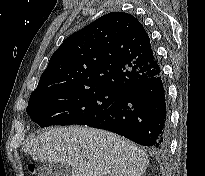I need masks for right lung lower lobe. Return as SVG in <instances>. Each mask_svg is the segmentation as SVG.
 <instances>
[{"mask_svg": "<svg viewBox=\"0 0 205 176\" xmlns=\"http://www.w3.org/2000/svg\"><path fill=\"white\" fill-rule=\"evenodd\" d=\"M87 126L108 130L157 152L169 147V117L162 74L140 80Z\"/></svg>", "mask_w": 205, "mask_h": 176, "instance_id": "obj_1", "label": "right lung lower lobe"}]
</instances>
